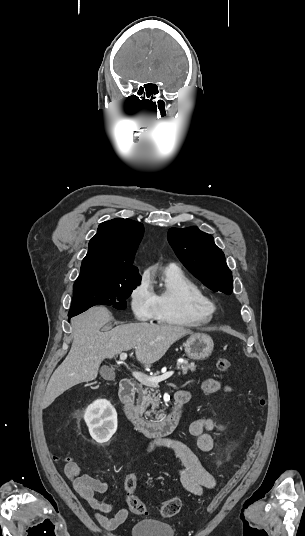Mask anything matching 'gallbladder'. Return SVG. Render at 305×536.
Returning a JSON list of instances; mask_svg holds the SVG:
<instances>
[{
    "instance_id": "gallbladder-1",
    "label": "gallbladder",
    "mask_w": 305,
    "mask_h": 536,
    "mask_svg": "<svg viewBox=\"0 0 305 536\" xmlns=\"http://www.w3.org/2000/svg\"><path fill=\"white\" fill-rule=\"evenodd\" d=\"M100 374L104 380H114L115 374L111 368H108V366H102L100 370Z\"/></svg>"
}]
</instances>
